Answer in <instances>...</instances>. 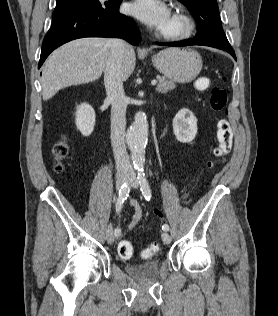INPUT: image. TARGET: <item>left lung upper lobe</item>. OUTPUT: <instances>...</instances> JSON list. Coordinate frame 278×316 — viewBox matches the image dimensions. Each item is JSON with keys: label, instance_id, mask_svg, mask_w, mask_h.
Wrapping results in <instances>:
<instances>
[{"label": "left lung upper lobe", "instance_id": "left-lung-upper-lobe-1", "mask_svg": "<svg viewBox=\"0 0 278 316\" xmlns=\"http://www.w3.org/2000/svg\"><path fill=\"white\" fill-rule=\"evenodd\" d=\"M192 13L198 23L194 39L222 49L233 50L223 31L216 0H179Z\"/></svg>", "mask_w": 278, "mask_h": 316}]
</instances>
